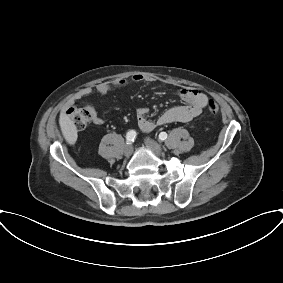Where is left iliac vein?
<instances>
[{"label":"left iliac vein","mask_w":283,"mask_h":283,"mask_svg":"<svg viewBox=\"0 0 283 283\" xmlns=\"http://www.w3.org/2000/svg\"><path fill=\"white\" fill-rule=\"evenodd\" d=\"M145 145L147 147H149L155 155L163 156V151H162L161 146L156 141H154L153 139H151L149 137L146 138L145 139Z\"/></svg>","instance_id":"1"}]
</instances>
